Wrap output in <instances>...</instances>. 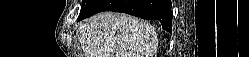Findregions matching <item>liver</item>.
<instances>
[{"instance_id":"1","label":"liver","mask_w":249,"mask_h":57,"mask_svg":"<svg viewBox=\"0 0 249 57\" xmlns=\"http://www.w3.org/2000/svg\"><path fill=\"white\" fill-rule=\"evenodd\" d=\"M86 57H153L157 34L150 23L119 13L103 12L80 26Z\"/></svg>"}]
</instances>
